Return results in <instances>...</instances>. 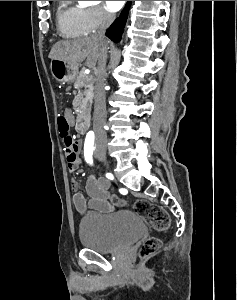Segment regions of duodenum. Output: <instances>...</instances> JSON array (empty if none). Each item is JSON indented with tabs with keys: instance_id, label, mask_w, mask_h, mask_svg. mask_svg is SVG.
I'll return each instance as SVG.
<instances>
[{
	"instance_id": "1",
	"label": "duodenum",
	"mask_w": 237,
	"mask_h": 300,
	"mask_svg": "<svg viewBox=\"0 0 237 300\" xmlns=\"http://www.w3.org/2000/svg\"><path fill=\"white\" fill-rule=\"evenodd\" d=\"M88 119L86 116H80L77 124H76V130L79 134H85L87 132L88 129Z\"/></svg>"
}]
</instances>
